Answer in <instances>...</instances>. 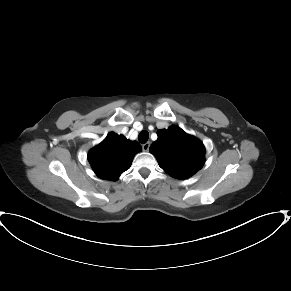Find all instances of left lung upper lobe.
<instances>
[{
	"label": "left lung upper lobe",
	"instance_id": "5c2ea615",
	"mask_svg": "<svg viewBox=\"0 0 291 291\" xmlns=\"http://www.w3.org/2000/svg\"><path fill=\"white\" fill-rule=\"evenodd\" d=\"M157 135L158 139L149 151L166 173L177 179H186L202 168L205 147L200 140L177 126L159 130Z\"/></svg>",
	"mask_w": 291,
	"mask_h": 291
}]
</instances>
